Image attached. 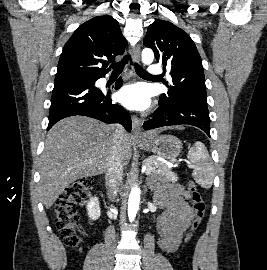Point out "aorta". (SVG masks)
Here are the masks:
<instances>
[{
  "label": "aorta",
  "mask_w": 267,
  "mask_h": 270,
  "mask_svg": "<svg viewBox=\"0 0 267 270\" xmlns=\"http://www.w3.org/2000/svg\"><path fill=\"white\" fill-rule=\"evenodd\" d=\"M154 53L150 48H145L142 51V62L145 65H149L153 62ZM140 188L135 185L130 192L128 199V217L130 222H133L139 209L140 203Z\"/></svg>",
  "instance_id": "aorta-1"
}]
</instances>
